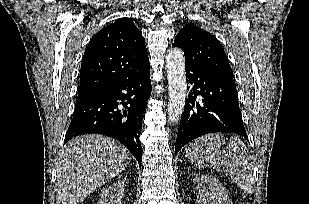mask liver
Wrapping results in <instances>:
<instances>
[{
  "label": "liver",
  "mask_w": 309,
  "mask_h": 204,
  "mask_svg": "<svg viewBox=\"0 0 309 204\" xmlns=\"http://www.w3.org/2000/svg\"><path fill=\"white\" fill-rule=\"evenodd\" d=\"M131 161L130 152L118 141L103 135H81L70 140L58 158L57 204H82Z\"/></svg>",
  "instance_id": "liver-1"
}]
</instances>
